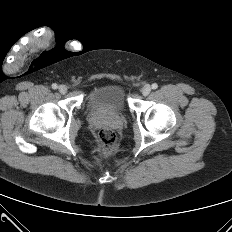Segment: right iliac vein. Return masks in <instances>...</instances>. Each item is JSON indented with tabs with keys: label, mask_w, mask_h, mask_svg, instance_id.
<instances>
[{
	"label": "right iliac vein",
	"mask_w": 232,
	"mask_h": 232,
	"mask_svg": "<svg viewBox=\"0 0 232 232\" xmlns=\"http://www.w3.org/2000/svg\"><path fill=\"white\" fill-rule=\"evenodd\" d=\"M58 90H59V92H60L61 94H65V93L67 92V86H65V85H60V86L58 87Z\"/></svg>",
	"instance_id": "63e3f726"
}]
</instances>
